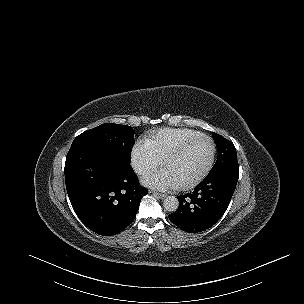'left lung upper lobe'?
<instances>
[{
  "label": "left lung upper lobe",
  "instance_id": "obj_1",
  "mask_svg": "<svg viewBox=\"0 0 304 304\" xmlns=\"http://www.w3.org/2000/svg\"><path fill=\"white\" fill-rule=\"evenodd\" d=\"M212 136L217 146L218 158L208 175L219 172L227 167L238 165L234 144L219 134L212 133Z\"/></svg>",
  "mask_w": 304,
  "mask_h": 304
}]
</instances>
